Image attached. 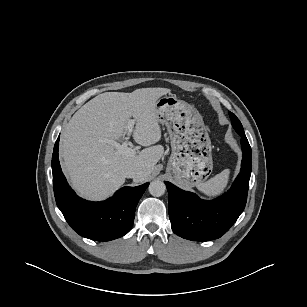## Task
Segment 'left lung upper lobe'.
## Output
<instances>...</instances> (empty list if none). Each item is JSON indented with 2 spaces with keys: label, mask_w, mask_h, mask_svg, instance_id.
Wrapping results in <instances>:
<instances>
[{
  "label": "left lung upper lobe",
  "mask_w": 307,
  "mask_h": 307,
  "mask_svg": "<svg viewBox=\"0 0 307 307\" xmlns=\"http://www.w3.org/2000/svg\"><path fill=\"white\" fill-rule=\"evenodd\" d=\"M230 117H231V122H232V126L234 127V129L236 130V132L240 135V136H245L243 127L241 122L239 121V119L231 112H229Z\"/></svg>",
  "instance_id": "1"
}]
</instances>
